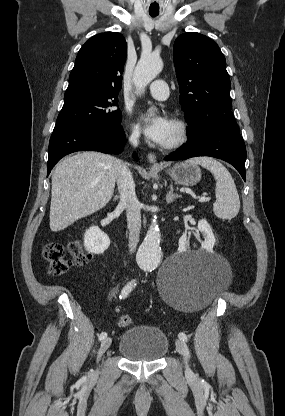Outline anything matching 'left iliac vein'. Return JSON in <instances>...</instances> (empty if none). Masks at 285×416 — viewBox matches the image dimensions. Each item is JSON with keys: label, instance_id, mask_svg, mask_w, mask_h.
<instances>
[{"label": "left iliac vein", "instance_id": "obj_1", "mask_svg": "<svg viewBox=\"0 0 285 416\" xmlns=\"http://www.w3.org/2000/svg\"><path fill=\"white\" fill-rule=\"evenodd\" d=\"M176 349L184 358V362L186 366V370H185L186 374H192V370L189 367V350L187 348L186 343L182 340H177Z\"/></svg>", "mask_w": 285, "mask_h": 416}]
</instances>
